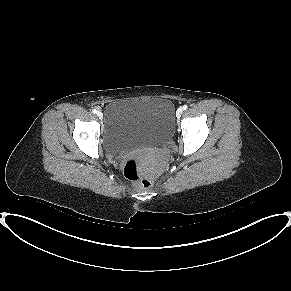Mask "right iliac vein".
I'll return each mask as SVG.
<instances>
[{"mask_svg": "<svg viewBox=\"0 0 291 291\" xmlns=\"http://www.w3.org/2000/svg\"><path fill=\"white\" fill-rule=\"evenodd\" d=\"M97 116H98L99 118H102V117H103V113H102L101 111H98V112H97Z\"/></svg>", "mask_w": 291, "mask_h": 291, "instance_id": "right-iliac-vein-1", "label": "right iliac vein"}]
</instances>
